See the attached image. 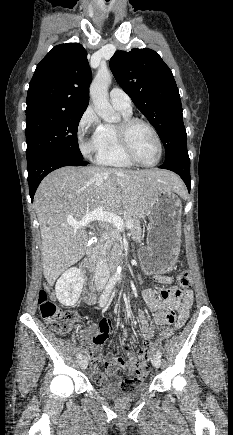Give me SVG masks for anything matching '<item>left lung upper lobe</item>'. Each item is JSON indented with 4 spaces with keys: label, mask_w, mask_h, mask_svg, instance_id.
<instances>
[{
    "label": "left lung upper lobe",
    "mask_w": 233,
    "mask_h": 435,
    "mask_svg": "<svg viewBox=\"0 0 233 435\" xmlns=\"http://www.w3.org/2000/svg\"><path fill=\"white\" fill-rule=\"evenodd\" d=\"M116 81L157 130L165 158L187 148L179 91L169 67L149 49L117 51L110 59Z\"/></svg>",
    "instance_id": "1"
}]
</instances>
